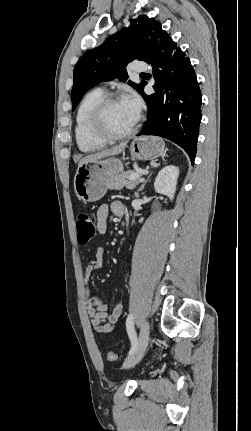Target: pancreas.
I'll return each instance as SVG.
<instances>
[{"instance_id": "cf45deb5", "label": "pancreas", "mask_w": 251, "mask_h": 431, "mask_svg": "<svg viewBox=\"0 0 251 431\" xmlns=\"http://www.w3.org/2000/svg\"><path fill=\"white\" fill-rule=\"evenodd\" d=\"M134 171L122 172L119 175L112 176L108 182V188L110 190H120L124 187L127 189H134L138 184L139 180H130V176L134 174Z\"/></svg>"}]
</instances>
